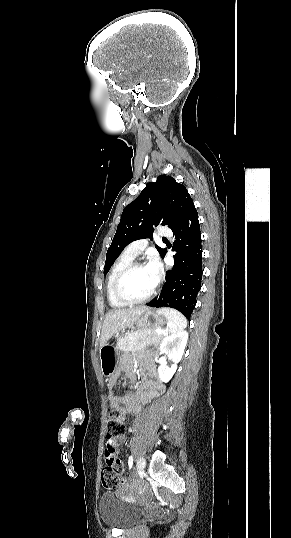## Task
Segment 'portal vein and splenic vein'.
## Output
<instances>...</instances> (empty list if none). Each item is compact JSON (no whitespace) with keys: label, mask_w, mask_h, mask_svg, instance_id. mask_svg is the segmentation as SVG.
<instances>
[{"label":"portal vein and splenic vein","mask_w":291,"mask_h":538,"mask_svg":"<svg viewBox=\"0 0 291 538\" xmlns=\"http://www.w3.org/2000/svg\"><path fill=\"white\" fill-rule=\"evenodd\" d=\"M157 332H158L159 334H162V330H157Z\"/></svg>","instance_id":"portal-vein-and-splenic-vein-1"}]
</instances>
